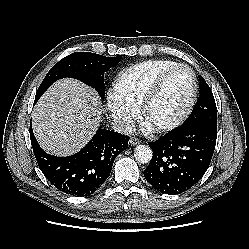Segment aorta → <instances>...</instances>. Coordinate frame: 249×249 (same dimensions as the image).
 I'll use <instances>...</instances> for the list:
<instances>
[{
  "label": "aorta",
  "instance_id": "1",
  "mask_svg": "<svg viewBox=\"0 0 249 249\" xmlns=\"http://www.w3.org/2000/svg\"><path fill=\"white\" fill-rule=\"evenodd\" d=\"M153 156L152 150L147 145H138L134 150V157L136 161L141 164H147L151 161Z\"/></svg>",
  "mask_w": 249,
  "mask_h": 249
}]
</instances>
